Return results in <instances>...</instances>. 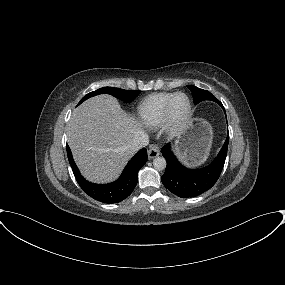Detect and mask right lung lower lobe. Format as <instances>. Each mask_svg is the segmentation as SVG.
Returning a JSON list of instances; mask_svg holds the SVG:
<instances>
[{"mask_svg":"<svg viewBox=\"0 0 285 285\" xmlns=\"http://www.w3.org/2000/svg\"><path fill=\"white\" fill-rule=\"evenodd\" d=\"M67 155L74 176L83 191L95 200L103 203H118L128 197L137 185L138 171L147 161L146 149L140 150L126 165L119 179L109 184H94L83 178L67 146Z\"/></svg>","mask_w":285,"mask_h":285,"instance_id":"1","label":"right lung lower lobe"}]
</instances>
